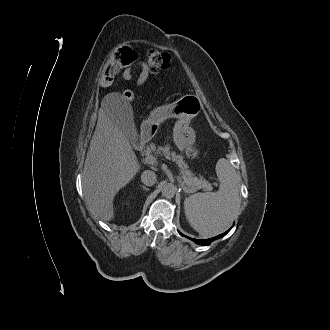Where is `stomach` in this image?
Masks as SVG:
<instances>
[{
	"label": "stomach",
	"mask_w": 330,
	"mask_h": 330,
	"mask_svg": "<svg viewBox=\"0 0 330 330\" xmlns=\"http://www.w3.org/2000/svg\"><path fill=\"white\" fill-rule=\"evenodd\" d=\"M203 109L201 100L193 94L182 96L180 99L163 109L167 117H175L178 121L173 128V140L180 151L190 149L196 139L195 131L190 121L200 114ZM158 112L148 121L146 131L152 132L153 125L157 124Z\"/></svg>",
	"instance_id": "0dacf381"
}]
</instances>
